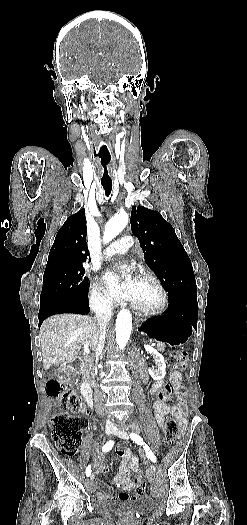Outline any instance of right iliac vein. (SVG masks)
Masks as SVG:
<instances>
[{
	"instance_id": "right-iliac-vein-1",
	"label": "right iliac vein",
	"mask_w": 247,
	"mask_h": 525,
	"mask_svg": "<svg viewBox=\"0 0 247 525\" xmlns=\"http://www.w3.org/2000/svg\"><path fill=\"white\" fill-rule=\"evenodd\" d=\"M113 431H114V428H113L112 426H110V425H107V426H106V428H105V433H106L107 435H110L111 433H113ZM90 479H91V480L94 479V474H93V473L90 475Z\"/></svg>"
}]
</instances>
